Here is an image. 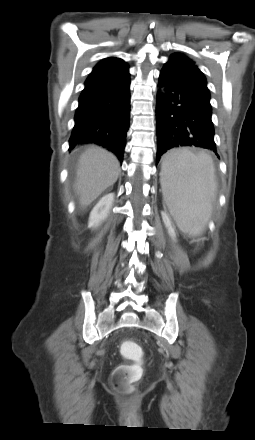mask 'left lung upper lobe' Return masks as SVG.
<instances>
[{
  "instance_id": "5c2ea615",
  "label": "left lung upper lobe",
  "mask_w": 255,
  "mask_h": 440,
  "mask_svg": "<svg viewBox=\"0 0 255 440\" xmlns=\"http://www.w3.org/2000/svg\"><path fill=\"white\" fill-rule=\"evenodd\" d=\"M172 71L176 76L190 84L191 86L201 90L210 96L207 88V82L204 74L198 69L188 57L180 53H174L170 56L169 61L164 65Z\"/></svg>"
}]
</instances>
